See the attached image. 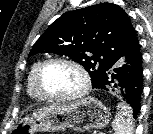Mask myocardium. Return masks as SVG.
Masks as SVG:
<instances>
[{
    "label": "myocardium",
    "mask_w": 153,
    "mask_h": 134,
    "mask_svg": "<svg viewBox=\"0 0 153 134\" xmlns=\"http://www.w3.org/2000/svg\"><path fill=\"white\" fill-rule=\"evenodd\" d=\"M55 63L69 65L73 67L80 74L82 85L77 92L70 95H65V96H56V95L48 94L44 91V89L42 88V83H41L43 73L49 65L55 64ZM35 86L39 95L45 100L56 101V102H69V101L81 99L85 95H87V93L89 92L91 88V77L88 70L80 62L74 59L66 58V57H53L43 61L41 65L39 66L35 75Z\"/></svg>",
    "instance_id": "obj_1"
}]
</instances>
